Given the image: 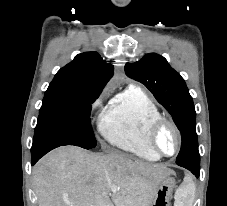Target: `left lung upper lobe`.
<instances>
[{
	"mask_svg": "<svg viewBox=\"0 0 227 206\" xmlns=\"http://www.w3.org/2000/svg\"><path fill=\"white\" fill-rule=\"evenodd\" d=\"M126 74L144 84L156 100L171 114L181 132V150L176 163L200 164L196 134V112L184 79L156 54H146L141 60L125 65Z\"/></svg>",
	"mask_w": 227,
	"mask_h": 206,
	"instance_id": "1",
	"label": "left lung upper lobe"
}]
</instances>
